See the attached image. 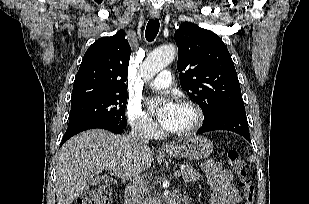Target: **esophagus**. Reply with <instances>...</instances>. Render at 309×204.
Instances as JSON below:
<instances>
[{"label":"esophagus","mask_w":309,"mask_h":204,"mask_svg":"<svg viewBox=\"0 0 309 204\" xmlns=\"http://www.w3.org/2000/svg\"><path fill=\"white\" fill-rule=\"evenodd\" d=\"M151 17H152L153 19H157V18L160 17V14L157 13V12H153V13H151ZM171 147H172V146H171L169 143H163V144H162V149H169V148H171Z\"/></svg>","instance_id":"esophagus-1"}]
</instances>
